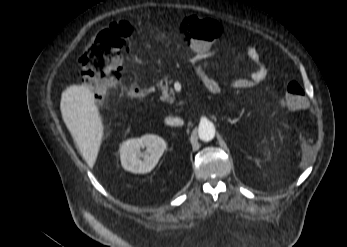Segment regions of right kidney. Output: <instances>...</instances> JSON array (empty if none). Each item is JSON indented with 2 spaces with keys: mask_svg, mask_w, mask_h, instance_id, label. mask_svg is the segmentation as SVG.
Listing matches in <instances>:
<instances>
[{
  "mask_svg": "<svg viewBox=\"0 0 347 247\" xmlns=\"http://www.w3.org/2000/svg\"><path fill=\"white\" fill-rule=\"evenodd\" d=\"M146 151H141L145 148ZM166 149V142L159 136L146 134L141 138L125 141L120 147L122 167L132 173L150 172Z\"/></svg>",
  "mask_w": 347,
  "mask_h": 247,
  "instance_id": "obj_1",
  "label": "right kidney"
}]
</instances>
